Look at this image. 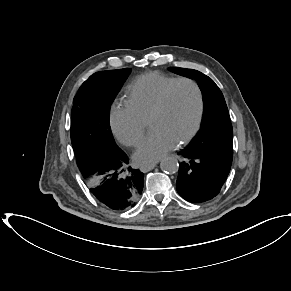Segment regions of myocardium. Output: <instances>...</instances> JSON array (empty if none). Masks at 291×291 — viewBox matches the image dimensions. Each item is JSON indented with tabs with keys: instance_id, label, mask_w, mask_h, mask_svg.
I'll return each mask as SVG.
<instances>
[{
	"instance_id": "obj_1",
	"label": "myocardium",
	"mask_w": 291,
	"mask_h": 291,
	"mask_svg": "<svg viewBox=\"0 0 291 291\" xmlns=\"http://www.w3.org/2000/svg\"><path fill=\"white\" fill-rule=\"evenodd\" d=\"M181 83H187L193 87L195 90V93L197 95V101H198V111H197V117L195 124L193 128L185 134L183 137H181L178 141V145L185 144L189 142L192 138L195 137V135L198 133V131L201 128L202 122H203V117H204V111H205V102H204V96L203 92L201 90V87L199 84L188 77H181V78H176L173 82H171L162 92L159 101L153 111L151 112L149 116L148 122L150 123L152 119L155 117L161 115L168 107V102H169V97L172 92V90Z\"/></svg>"
}]
</instances>
